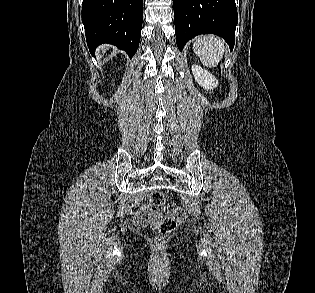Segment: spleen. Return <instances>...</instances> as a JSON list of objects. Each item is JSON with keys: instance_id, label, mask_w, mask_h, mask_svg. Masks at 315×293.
Instances as JSON below:
<instances>
[{"instance_id": "obj_1", "label": "spleen", "mask_w": 315, "mask_h": 293, "mask_svg": "<svg viewBox=\"0 0 315 293\" xmlns=\"http://www.w3.org/2000/svg\"><path fill=\"white\" fill-rule=\"evenodd\" d=\"M194 53L206 67H216L223 58L224 45L220 38L215 36H202L193 44Z\"/></svg>"}]
</instances>
